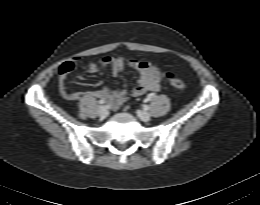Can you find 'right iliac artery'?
Listing matches in <instances>:
<instances>
[{"label":"right iliac artery","instance_id":"right-iliac-artery-1","mask_svg":"<svg viewBox=\"0 0 260 205\" xmlns=\"http://www.w3.org/2000/svg\"><path fill=\"white\" fill-rule=\"evenodd\" d=\"M98 103H99V104H105L106 101H105L104 99H100V100L98 101Z\"/></svg>","mask_w":260,"mask_h":205}]
</instances>
